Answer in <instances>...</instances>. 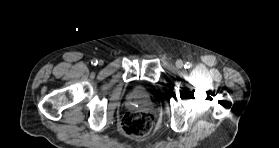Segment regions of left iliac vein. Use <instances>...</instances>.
<instances>
[{
	"instance_id": "1",
	"label": "left iliac vein",
	"mask_w": 279,
	"mask_h": 148,
	"mask_svg": "<svg viewBox=\"0 0 279 148\" xmlns=\"http://www.w3.org/2000/svg\"><path fill=\"white\" fill-rule=\"evenodd\" d=\"M176 66H177L178 68H182V67H183V62H182L181 60H178V61L176 62Z\"/></svg>"
}]
</instances>
